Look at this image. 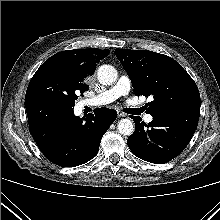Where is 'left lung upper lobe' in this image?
Segmentation results:
<instances>
[{
    "instance_id": "1",
    "label": "left lung upper lobe",
    "mask_w": 220,
    "mask_h": 220,
    "mask_svg": "<svg viewBox=\"0 0 220 220\" xmlns=\"http://www.w3.org/2000/svg\"><path fill=\"white\" fill-rule=\"evenodd\" d=\"M136 95L152 96L147 112L156 114L177 108H200L194 80L174 59L152 51L116 49Z\"/></svg>"
}]
</instances>
